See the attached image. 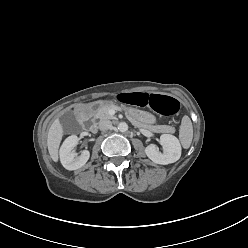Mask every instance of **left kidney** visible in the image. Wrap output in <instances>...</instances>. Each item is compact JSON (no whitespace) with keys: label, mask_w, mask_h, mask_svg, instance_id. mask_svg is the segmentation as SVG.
<instances>
[{"label":"left kidney","mask_w":248,"mask_h":248,"mask_svg":"<svg viewBox=\"0 0 248 248\" xmlns=\"http://www.w3.org/2000/svg\"><path fill=\"white\" fill-rule=\"evenodd\" d=\"M160 144L164 149L161 153L155 144H150L145 148L147 157L154 163L167 165L179 160L181 156V145L179 140L170 134L160 136Z\"/></svg>","instance_id":"obj_1"}]
</instances>
